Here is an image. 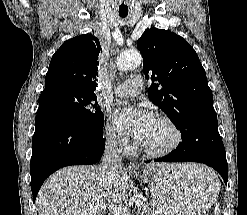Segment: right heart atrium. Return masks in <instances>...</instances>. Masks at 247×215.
Returning a JSON list of instances; mask_svg holds the SVG:
<instances>
[{"instance_id": "obj_1", "label": "right heart atrium", "mask_w": 247, "mask_h": 215, "mask_svg": "<svg viewBox=\"0 0 247 215\" xmlns=\"http://www.w3.org/2000/svg\"><path fill=\"white\" fill-rule=\"evenodd\" d=\"M103 133L108 147L118 152H126L128 150L129 139L119 129L111 124H105Z\"/></svg>"}]
</instances>
